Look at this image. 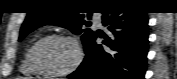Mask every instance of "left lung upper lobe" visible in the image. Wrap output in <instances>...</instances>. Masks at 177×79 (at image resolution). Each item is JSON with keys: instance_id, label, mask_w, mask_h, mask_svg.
<instances>
[{"instance_id": "1", "label": "left lung upper lobe", "mask_w": 177, "mask_h": 79, "mask_svg": "<svg viewBox=\"0 0 177 79\" xmlns=\"http://www.w3.org/2000/svg\"><path fill=\"white\" fill-rule=\"evenodd\" d=\"M37 2L36 8L33 11L28 12V15L21 27L19 41H21L28 33L40 26L54 24L70 29L75 34H80L84 31L81 39L86 50L95 33L90 29H81L85 22L83 20L84 16L81 14L80 10L81 8H84L85 4H88L89 1H75L80 2L74 3L79 4V7L72 10H57L51 8L54 5L65 4L60 3L63 1L41 0Z\"/></svg>"}]
</instances>
